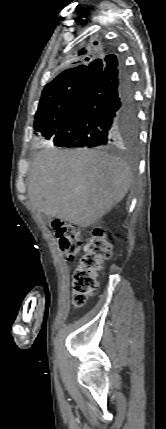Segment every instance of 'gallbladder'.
<instances>
[{
  "label": "gallbladder",
  "mask_w": 166,
  "mask_h": 429,
  "mask_svg": "<svg viewBox=\"0 0 166 429\" xmlns=\"http://www.w3.org/2000/svg\"><path fill=\"white\" fill-rule=\"evenodd\" d=\"M41 217L45 223L49 222V217L46 214L41 213Z\"/></svg>",
  "instance_id": "obj_1"
}]
</instances>
